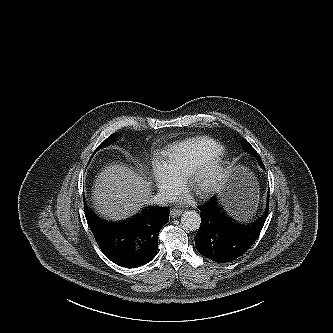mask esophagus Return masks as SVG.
<instances>
[{
    "mask_svg": "<svg viewBox=\"0 0 333 333\" xmlns=\"http://www.w3.org/2000/svg\"><path fill=\"white\" fill-rule=\"evenodd\" d=\"M182 214V210L180 209H172L170 212L171 217L176 218Z\"/></svg>",
    "mask_w": 333,
    "mask_h": 333,
    "instance_id": "obj_1",
    "label": "esophagus"
}]
</instances>
